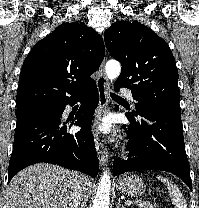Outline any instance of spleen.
I'll return each mask as SVG.
<instances>
[{"label": "spleen", "mask_w": 199, "mask_h": 208, "mask_svg": "<svg viewBox=\"0 0 199 208\" xmlns=\"http://www.w3.org/2000/svg\"><path fill=\"white\" fill-rule=\"evenodd\" d=\"M157 179L164 183L167 187L171 201L175 205V208H187L186 200L182 196L178 187L172 181L160 175L157 176Z\"/></svg>", "instance_id": "obj_1"}]
</instances>
